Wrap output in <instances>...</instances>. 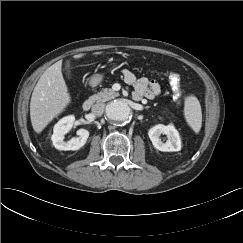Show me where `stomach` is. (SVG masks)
Segmentation results:
<instances>
[{
  "mask_svg": "<svg viewBox=\"0 0 243 243\" xmlns=\"http://www.w3.org/2000/svg\"><path fill=\"white\" fill-rule=\"evenodd\" d=\"M102 75H100V74H96V75H94L92 78H91V80H90V84L92 85V86H95V85H97V84H99L101 81H102Z\"/></svg>",
  "mask_w": 243,
  "mask_h": 243,
  "instance_id": "stomach-1",
  "label": "stomach"
}]
</instances>
